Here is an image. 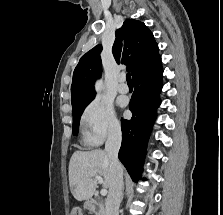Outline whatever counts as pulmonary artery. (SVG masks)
Instances as JSON below:
<instances>
[{"label":"pulmonary artery","mask_w":223,"mask_h":215,"mask_svg":"<svg viewBox=\"0 0 223 215\" xmlns=\"http://www.w3.org/2000/svg\"><path fill=\"white\" fill-rule=\"evenodd\" d=\"M117 90L120 92V93H127L129 91V87L128 85L126 84V80H125V76L124 75H121L119 78H118V84H117Z\"/></svg>","instance_id":"1"}]
</instances>
